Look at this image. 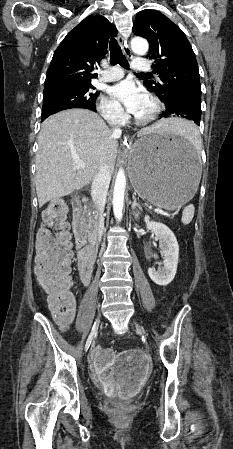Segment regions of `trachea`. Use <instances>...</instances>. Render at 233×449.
Instances as JSON below:
<instances>
[{
	"mask_svg": "<svg viewBox=\"0 0 233 449\" xmlns=\"http://www.w3.org/2000/svg\"><path fill=\"white\" fill-rule=\"evenodd\" d=\"M110 50V62L112 64H120L123 68L129 69V63L125 56L122 54L121 48L115 38L110 39L109 43ZM140 75L150 76L149 73H140Z\"/></svg>",
	"mask_w": 233,
	"mask_h": 449,
	"instance_id": "obj_1",
	"label": "trachea"
}]
</instances>
